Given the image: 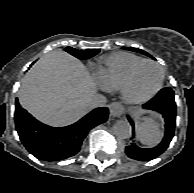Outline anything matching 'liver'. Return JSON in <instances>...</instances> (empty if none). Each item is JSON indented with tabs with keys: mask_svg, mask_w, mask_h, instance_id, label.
<instances>
[{
	"mask_svg": "<svg viewBox=\"0 0 194 193\" xmlns=\"http://www.w3.org/2000/svg\"><path fill=\"white\" fill-rule=\"evenodd\" d=\"M96 90L82 62L63 51H53L26 73L19 89V102L41 122L62 127L90 111L87 101Z\"/></svg>",
	"mask_w": 194,
	"mask_h": 193,
	"instance_id": "1",
	"label": "liver"
}]
</instances>
